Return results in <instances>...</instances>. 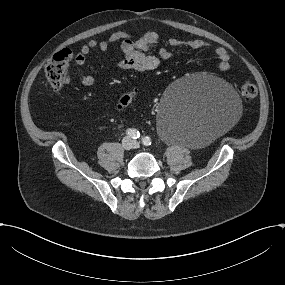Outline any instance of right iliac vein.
Returning a JSON list of instances; mask_svg holds the SVG:
<instances>
[{"label":"right iliac vein","mask_w":285,"mask_h":285,"mask_svg":"<svg viewBox=\"0 0 285 285\" xmlns=\"http://www.w3.org/2000/svg\"><path fill=\"white\" fill-rule=\"evenodd\" d=\"M133 147H134V141L129 137H124L122 140V148L126 151H129Z\"/></svg>","instance_id":"63e3f726"}]
</instances>
